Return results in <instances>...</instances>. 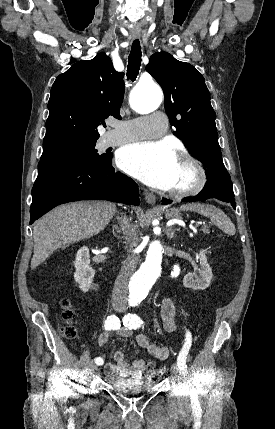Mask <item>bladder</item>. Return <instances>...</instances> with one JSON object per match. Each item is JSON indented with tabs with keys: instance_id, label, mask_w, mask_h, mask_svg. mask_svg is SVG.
I'll return each mask as SVG.
<instances>
[{
	"instance_id": "31cf9c89",
	"label": "bladder",
	"mask_w": 275,
	"mask_h": 429,
	"mask_svg": "<svg viewBox=\"0 0 275 429\" xmlns=\"http://www.w3.org/2000/svg\"><path fill=\"white\" fill-rule=\"evenodd\" d=\"M115 387V393H122L123 398H136L137 393H152V384H147V378H119V381H109Z\"/></svg>"
}]
</instances>
